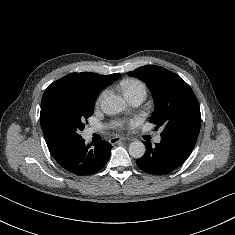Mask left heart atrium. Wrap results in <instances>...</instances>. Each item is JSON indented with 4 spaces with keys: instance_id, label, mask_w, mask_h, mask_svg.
<instances>
[{
    "instance_id": "1",
    "label": "left heart atrium",
    "mask_w": 235,
    "mask_h": 235,
    "mask_svg": "<svg viewBox=\"0 0 235 235\" xmlns=\"http://www.w3.org/2000/svg\"><path fill=\"white\" fill-rule=\"evenodd\" d=\"M129 123H132V122L131 121H128V122H118L117 126L118 127H124L125 124H129Z\"/></svg>"
}]
</instances>
